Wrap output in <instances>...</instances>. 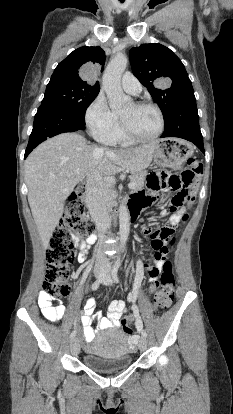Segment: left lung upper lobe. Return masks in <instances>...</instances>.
<instances>
[{
    "instance_id": "obj_1",
    "label": "left lung upper lobe",
    "mask_w": 233,
    "mask_h": 414,
    "mask_svg": "<svg viewBox=\"0 0 233 414\" xmlns=\"http://www.w3.org/2000/svg\"><path fill=\"white\" fill-rule=\"evenodd\" d=\"M131 67L159 105L164 120L184 101L195 100L193 87L181 60L167 47L153 43L132 48ZM167 82V89L159 88Z\"/></svg>"
}]
</instances>
